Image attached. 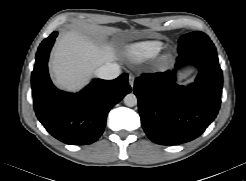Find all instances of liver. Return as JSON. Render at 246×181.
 <instances>
[{"label": "liver", "mask_w": 246, "mask_h": 181, "mask_svg": "<svg viewBox=\"0 0 246 181\" xmlns=\"http://www.w3.org/2000/svg\"><path fill=\"white\" fill-rule=\"evenodd\" d=\"M116 52L110 45L100 48L77 31L64 33L57 41L51 71L56 85L67 91H77L100 66L111 63Z\"/></svg>", "instance_id": "1"}]
</instances>
